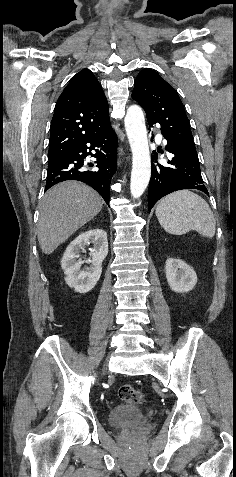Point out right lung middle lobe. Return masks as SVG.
<instances>
[{
	"label": "right lung middle lobe",
	"mask_w": 236,
	"mask_h": 477,
	"mask_svg": "<svg viewBox=\"0 0 236 477\" xmlns=\"http://www.w3.org/2000/svg\"><path fill=\"white\" fill-rule=\"evenodd\" d=\"M61 157H57V156H54V157H51L49 156V161H54V160H57V159H60Z\"/></svg>",
	"instance_id": "1"
}]
</instances>
